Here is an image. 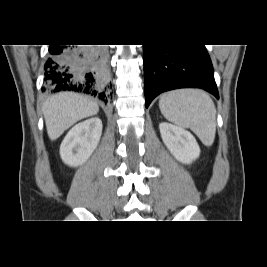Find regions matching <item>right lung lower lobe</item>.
Here are the masks:
<instances>
[{"instance_id":"right-lung-lower-lobe-1","label":"right lung lower lobe","mask_w":267,"mask_h":267,"mask_svg":"<svg viewBox=\"0 0 267 267\" xmlns=\"http://www.w3.org/2000/svg\"><path fill=\"white\" fill-rule=\"evenodd\" d=\"M43 91H74L107 101L111 95L105 47L75 49L50 45Z\"/></svg>"}]
</instances>
